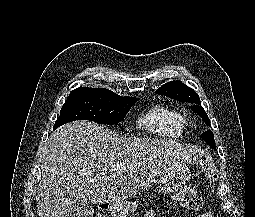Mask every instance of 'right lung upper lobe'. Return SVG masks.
<instances>
[{
    "label": "right lung upper lobe",
    "mask_w": 255,
    "mask_h": 217,
    "mask_svg": "<svg viewBox=\"0 0 255 217\" xmlns=\"http://www.w3.org/2000/svg\"><path fill=\"white\" fill-rule=\"evenodd\" d=\"M77 91H90V92H101V93H113L112 91H109L104 88H86V87H79L72 92H77ZM115 94V93H113Z\"/></svg>",
    "instance_id": "obj_1"
}]
</instances>
